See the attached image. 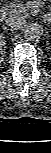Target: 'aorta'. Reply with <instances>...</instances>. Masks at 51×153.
<instances>
[{
	"label": "aorta",
	"mask_w": 51,
	"mask_h": 153,
	"mask_svg": "<svg viewBox=\"0 0 51 153\" xmlns=\"http://www.w3.org/2000/svg\"><path fill=\"white\" fill-rule=\"evenodd\" d=\"M43 26L39 23H31L25 29V37L28 40L34 41L41 38L43 35Z\"/></svg>",
	"instance_id": "aorta-1"
}]
</instances>
